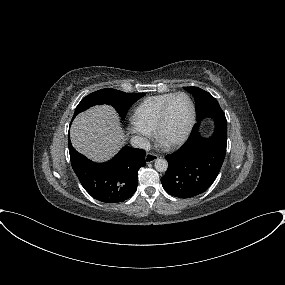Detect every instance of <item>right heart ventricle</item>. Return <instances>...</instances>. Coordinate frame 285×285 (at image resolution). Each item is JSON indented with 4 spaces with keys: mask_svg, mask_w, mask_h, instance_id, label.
Here are the masks:
<instances>
[{
    "mask_svg": "<svg viewBox=\"0 0 285 285\" xmlns=\"http://www.w3.org/2000/svg\"><path fill=\"white\" fill-rule=\"evenodd\" d=\"M173 94L166 93L144 99L135 108L132 119L144 127L154 130L163 106Z\"/></svg>",
    "mask_w": 285,
    "mask_h": 285,
    "instance_id": "e07e8e85",
    "label": "right heart ventricle"
}]
</instances>
